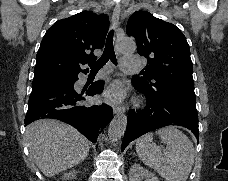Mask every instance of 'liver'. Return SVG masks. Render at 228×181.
I'll list each match as a JSON object with an SVG mask.
<instances>
[{
	"label": "liver",
	"mask_w": 228,
	"mask_h": 181,
	"mask_svg": "<svg viewBox=\"0 0 228 181\" xmlns=\"http://www.w3.org/2000/svg\"><path fill=\"white\" fill-rule=\"evenodd\" d=\"M29 157L45 177L76 167L86 159L90 143L74 127L40 119L26 127Z\"/></svg>",
	"instance_id": "liver-1"
}]
</instances>
